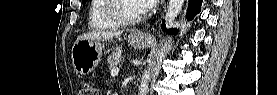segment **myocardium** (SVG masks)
Returning <instances> with one entry per match:
<instances>
[{"instance_id": "f54148a6", "label": "myocardium", "mask_w": 277, "mask_h": 95, "mask_svg": "<svg viewBox=\"0 0 277 95\" xmlns=\"http://www.w3.org/2000/svg\"><path fill=\"white\" fill-rule=\"evenodd\" d=\"M124 0H108V3L105 7V16L116 23L120 25H130V24H135L138 23L149 15V10L144 8L141 14H139L137 17H125L119 14L117 11L118 6L120 2Z\"/></svg>"}]
</instances>
